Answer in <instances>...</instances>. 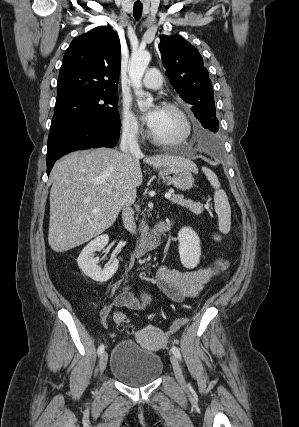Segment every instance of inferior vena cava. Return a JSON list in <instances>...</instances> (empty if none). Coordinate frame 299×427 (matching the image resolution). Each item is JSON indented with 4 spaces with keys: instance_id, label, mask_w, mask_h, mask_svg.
<instances>
[{
    "instance_id": "1",
    "label": "inferior vena cava",
    "mask_w": 299,
    "mask_h": 427,
    "mask_svg": "<svg viewBox=\"0 0 299 427\" xmlns=\"http://www.w3.org/2000/svg\"><path fill=\"white\" fill-rule=\"evenodd\" d=\"M120 150L127 154H141L136 136V130L133 127H124L122 131ZM124 227L132 234L136 233V223L134 211L131 205H125L122 211Z\"/></svg>"
}]
</instances>
